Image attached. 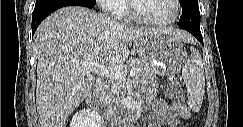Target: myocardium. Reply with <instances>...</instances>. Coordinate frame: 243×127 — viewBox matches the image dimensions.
Instances as JSON below:
<instances>
[{"mask_svg":"<svg viewBox=\"0 0 243 127\" xmlns=\"http://www.w3.org/2000/svg\"><path fill=\"white\" fill-rule=\"evenodd\" d=\"M137 1L138 0H129L128 6H129V12H130L131 17L139 23L153 25V26H167V25L174 23L178 19L179 15L181 13L180 1L179 0H171L172 4L174 6V13L171 17H169L167 19H163V20L150 19V18L142 16L138 12Z\"/></svg>","mask_w":243,"mask_h":127,"instance_id":"1","label":"myocardium"}]
</instances>
